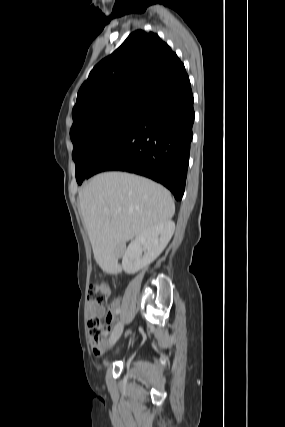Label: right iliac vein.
<instances>
[{
  "label": "right iliac vein",
  "instance_id": "obj_1",
  "mask_svg": "<svg viewBox=\"0 0 285 427\" xmlns=\"http://www.w3.org/2000/svg\"><path fill=\"white\" fill-rule=\"evenodd\" d=\"M123 328H124V326L122 323H118L114 327L112 334H111V337H110V346L114 345L117 342V340L120 338V336L123 332Z\"/></svg>",
  "mask_w": 285,
  "mask_h": 427
}]
</instances>
